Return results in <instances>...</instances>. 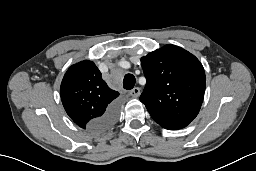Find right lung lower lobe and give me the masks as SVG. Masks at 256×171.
<instances>
[{"mask_svg": "<svg viewBox=\"0 0 256 171\" xmlns=\"http://www.w3.org/2000/svg\"><path fill=\"white\" fill-rule=\"evenodd\" d=\"M119 113V105L114 103L111 105L105 113L97 120L96 126L98 129H107L108 127H111L117 118V115Z\"/></svg>", "mask_w": 256, "mask_h": 171, "instance_id": "obj_1", "label": "right lung lower lobe"}]
</instances>
